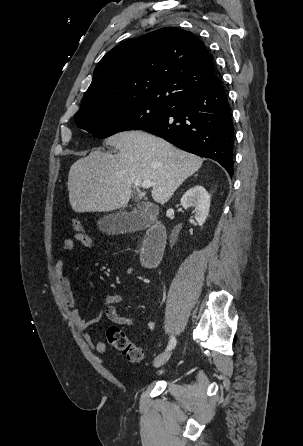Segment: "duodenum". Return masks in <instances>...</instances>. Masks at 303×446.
Segmentation results:
<instances>
[{"mask_svg": "<svg viewBox=\"0 0 303 446\" xmlns=\"http://www.w3.org/2000/svg\"><path fill=\"white\" fill-rule=\"evenodd\" d=\"M167 242L166 230L160 222L151 225L143 238L140 260L149 268L155 267L161 260Z\"/></svg>", "mask_w": 303, "mask_h": 446, "instance_id": "obj_1", "label": "duodenum"}]
</instances>
